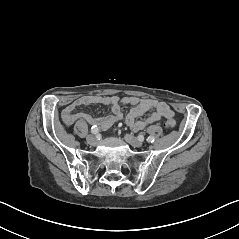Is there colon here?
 Masks as SVG:
<instances>
[{
    "label": "colon",
    "mask_w": 239,
    "mask_h": 239,
    "mask_svg": "<svg viewBox=\"0 0 239 239\" xmlns=\"http://www.w3.org/2000/svg\"><path fill=\"white\" fill-rule=\"evenodd\" d=\"M175 125H176V122L174 119H169L165 123V127L168 129H173L175 127Z\"/></svg>",
    "instance_id": "5ec220e1"
}]
</instances>
